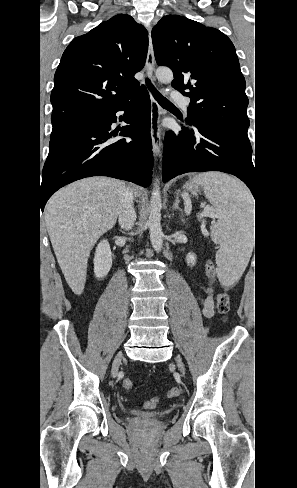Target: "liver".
<instances>
[{"mask_svg":"<svg viewBox=\"0 0 297 488\" xmlns=\"http://www.w3.org/2000/svg\"><path fill=\"white\" fill-rule=\"evenodd\" d=\"M125 190L120 180L91 177L62 188L46 205L45 222L53 250L66 282L77 295L84 290L90 252L115 225Z\"/></svg>","mask_w":297,"mask_h":488,"instance_id":"6515ba94","label":"liver"}]
</instances>
